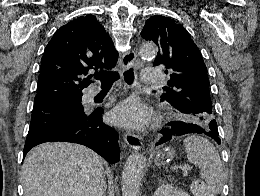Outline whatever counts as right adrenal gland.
I'll return each instance as SVG.
<instances>
[{"instance_id":"2a0ac1e0","label":"right adrenal gland","mask_w":260,"mask_h":196,"mask_svg":"<svg viewBox=\"0 0 260 196\" xmlns=\"http://www.w3.org/2000/svg\"><path fill=\"white\" fill-rule=\"evenodd\" d=\"M103 196H106V192H104Z\"/></svg>"}]
</instances>
